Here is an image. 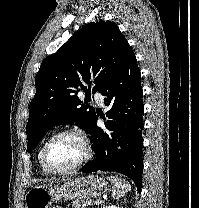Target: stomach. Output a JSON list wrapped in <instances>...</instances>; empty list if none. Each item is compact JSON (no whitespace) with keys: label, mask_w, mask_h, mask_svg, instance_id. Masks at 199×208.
<instances>
[{"label":"stomach","mask_w":199,"mask_h":208,"mask_svg":"<svg viewBox=\"0 0 199 208\" xmlns=\"http://www.w3.org/2000/svg\"><path fill=\"white\" fill-rule=\"evenodd\" d=\"M109 189L107 181L96 175L69 179L62 185H39L25 195V208H50L59 200H81L101 196ZM59 208V207H58Z\"/></svg>","instance_id":"0dacf381"}]
</instances>
